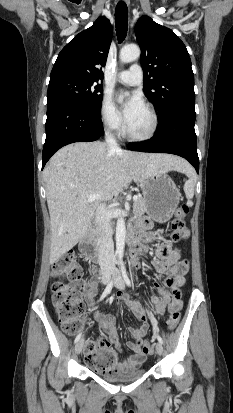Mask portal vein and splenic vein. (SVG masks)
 <instances>
[{"label":"portal vein and splenic vein","instance_id":"obj_1","mask_svg":"<svg viewBox=\"0 0 233 413\" xmlns=\"http://www.w3.org/2000/svg\"><path fill=\"white\" fill-rule=\"evenodd\" d=\"M86 198H87V201H88V202H93V201H95V200H109V198H104V197H102V196H100V195H97V194L87 195ZM138 198H139V197H138L137 195H134V196H133V200H134V201H137Z\"/></svg>","mask_w":233,"mask_h":413}]
</instances>
